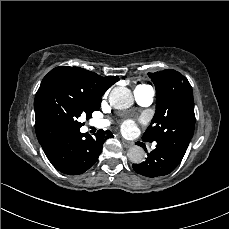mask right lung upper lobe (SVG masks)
Segmentation results:
<instances>
[{"instance_id": "1", "label": "right lung upper lobe", "mask_w": 229, "mask_h": 229, "mask_svg": "<svg viewBox=\"0 0 229 229\" xmlns=\"http://www.w3.org/2000/svg\"><path fill=\"white\" fill-rule=\"evenodd\" d=\"M52 77H61L77 84L88 96L101 99L105 91L119 80L118 76L101 77L80 67L61 66L51 70L42 81ZM40 142V141H39ZM44 151L53 144L40 142Z\"/></svg>"}]
</instances>
